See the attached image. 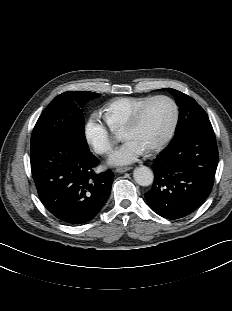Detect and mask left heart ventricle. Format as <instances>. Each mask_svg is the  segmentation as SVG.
Here are the masks:
<instances>
[{
	"label": "left heart ventricle",
	"mask_w": 232,
	"mask_h": 311,
	"mask_svg": "<svg viewBox=\"0 0 232 311\" xmlns=\"http://www.w3.org/2000/svg\"><path fill=\"white\" fill-rule=\"evenodd\" d=\"M172 116V106L168 101H155L146 109L139 124L123 133V138L136 140L147 150L163 138L170 126Z\"/></svg>",
	"instance_id": "obj_1"
}]
</instances>
